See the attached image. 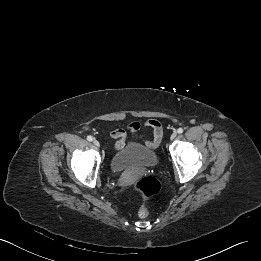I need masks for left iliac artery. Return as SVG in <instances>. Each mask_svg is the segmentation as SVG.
<instances>
[{"instance_id": "1", "label": "left iliac artery", "mask_w": 261, "mask_h": 261, "mask_svg": "<svg viewBox=\"0 0 261 261\" xmlns=\"http://www.w3.org/2000/svg\"><path fill=\"white\" fill-rule=\"evenodd\" d=\"M177 132H178L179 134H181V133H183V129H182V128H179V129L177 130Z\"/></svg>"}]
</instances>
